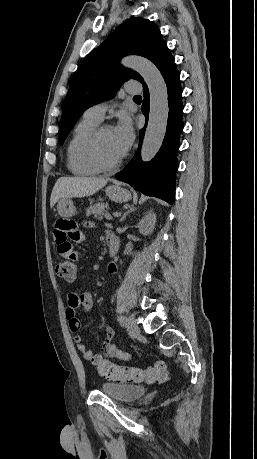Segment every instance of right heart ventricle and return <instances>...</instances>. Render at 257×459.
I'll return each mask as SVG.
<instances>
[{"label": "right heart ventricle", "mask_w": 257, "mask_h": 459, "mask_svg": "<svg viewBox=\"0 0 257 459\" xmlns=\"http://www.w3.org/2000/svg\"><path fill=\"white\" fill-rule=\"evenodd\" d=\"M99 123L100 121L84 115L73 129L67 144L66 157L67 167L74 175L90 176L100 172L88 161L84 151L89 135Z\"/></svg>", "instance_id": "1"}]
</instances>
